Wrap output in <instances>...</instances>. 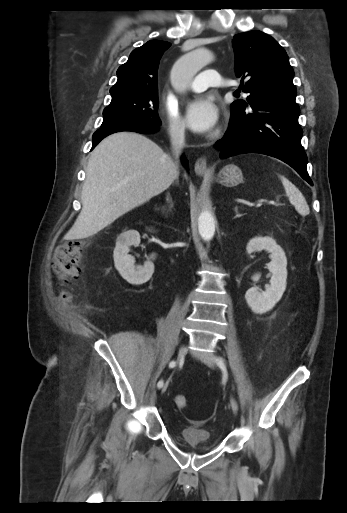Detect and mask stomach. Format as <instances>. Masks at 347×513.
Segmentation results:
<instances>
[{"mask_svg": "<svg viewBox=\"0 0 347 513\" xmlns=\"http://www.w3.org/2000/svg\"><path fill=\"white\" fill-rule=\"evenodd\" d=\"M243 180L244 177L242 171L235 164H228L224 166L220 170L217 177V182L227 187L236 186L239 183L243 182Z\"/></svg>", "mask_w": 347, "mask_h": 513, "instance_id": "0dacf381", "label": "stomach"}]
</instances>
